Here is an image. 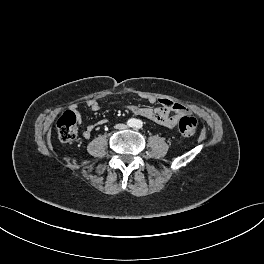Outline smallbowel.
<instances>
[{"label":"small bowel","instance_id":"1","mask_svg":"<svg viewBox=\"0 0 264 264\" xmlns=\"http://www.w3.org/2000/svg\"><path fill=\"white\" fill-rule=\"evenodd\" d=\"M147 100L150 103H155L156 101H158L160 106L156 108H151L130 105L128 106V109L134 114L143 116L159 125L170 129L174 128L177 125L178 120L181 116L190 113L189 109L186 106L166 98L156 99L155 97L150 96L147 98ZM86 104L94 112H97L100 109L99 103L94 99L88 100ZM78 119L80 120L79 115ZM105 122L106 120H101L98 124L101 125ZM94 129L95 125H88L83 131L84 138L89 139Z\"/></svg>","mask_w":264,"mask_h":264}]
</instances>
